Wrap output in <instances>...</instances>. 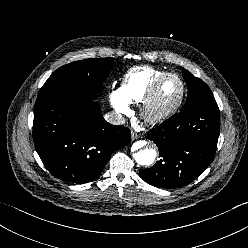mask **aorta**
I'll return each mask as SVG.
<instances>
[{"label": "aorta", "mask_w": 248, "mask_h": 248, "mask_svg": "<svg viewBox=\"0 0 248 248\" xmlns=\"http://www.w3.org/2000/svg\"><path fill=\"white\" fill-rule=\"evenodd\" d=\"M133 147L135 150L133 157L139 165L149 166L154 162L157 153L155 149L150 148L149 143L146 141H137Z\"/></svg>", "instance_id": "1"}]
</instances>
